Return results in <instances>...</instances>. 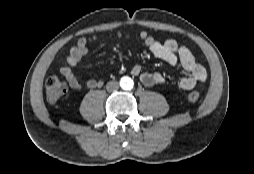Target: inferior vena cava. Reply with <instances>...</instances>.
Returning a JSON list of instances; mask_svg holds the SVG:
<instances>
[{
    "label": "inferior vena cava",
    "instance_id": "inferior-vena-cava-1",
    "mask_svg": "<svg viewBox=\"0 0 254 174\" xmlns=\"http://www.w3.org/2000/svg\"><path fill=\"white\" fill-rule=\"evenodd\" d=\"M107 91H116L119 89V83L116 81H110L106 85Z\"/></svg>",
    "mask_w": 254,
    "mask_h": 174
}]
</instances>
